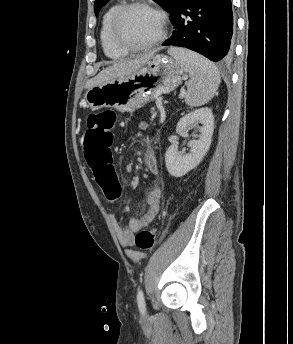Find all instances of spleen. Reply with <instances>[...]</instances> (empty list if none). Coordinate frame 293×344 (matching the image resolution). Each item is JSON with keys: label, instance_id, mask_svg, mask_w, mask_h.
Returning <instances> with one entry per match:
<instances>
[{"label": "spleen", "instance_id": "spleen-1", "mask_svg": "<svg viewBox=\"0 0 293 344\" xmlns=\"http://www.w3.org/2000/svg\"><path fill=\"white\" fill-rule=\"evenodd\" d=\"M172 55L189 73L185 102L191 107L204 105L215 95L221 78L216 66L205 57L182 48H170Z\"/></svg>", "mask_w": 293, "mask_h": 344}]
</instances>
